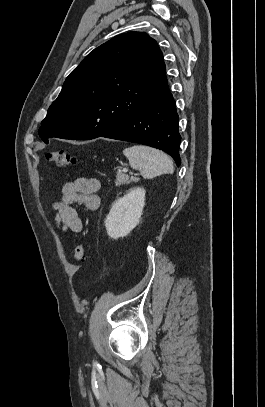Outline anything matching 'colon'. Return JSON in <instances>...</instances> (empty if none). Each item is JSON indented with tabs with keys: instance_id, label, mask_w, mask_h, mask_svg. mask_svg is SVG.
Masks as SVG:
<instances>
[{
	"instance_id": "colon-1",
	"label": "colon",
	"mask_w": 265,
	"mask_h": 407,
	"mask_svg": "<svg viewBox=\"0 0 265 407\" xmlns=\"http://www.w3.org/2000/svg\"><path fill=\"white\" fill-rule=\"evenodd\" d=\"M47 159L51 163L62 167L75 166L78 163V159L64 149H55L49 151L47 153ZM84 258H85V245L81 243L78 244L75 248L74 260L78 263H81L84 261Z\"/></svg>"
}]
</instances>
